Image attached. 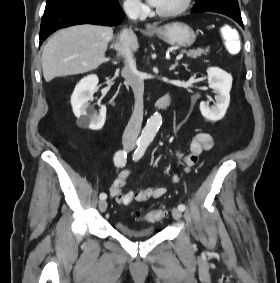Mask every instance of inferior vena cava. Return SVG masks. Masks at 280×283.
Masks as SVG:
<instances>
[{"instance_id":"1","label":"inferior vena cava","mask_w":280,"mask_h":283,"mask_svg":"<svg viewBox=\"0 0 280 283\" xmlns=\"http://www.w3.org/2000/svg\"><path fill=\"white\" fill-rule=\"evenodd\" d=\"M124 11L129 19L136 20L140 14V5L135 2H125ZM114 48L124 59V67L121 73L126 82L131 86L135 98L134 110L123 133L122 142L125 145L134 146L143 121L144 80L136 67L130 46V31L128 29H124L121 32L117 43L114 44Z\"/></svg>"}]
</instances>
